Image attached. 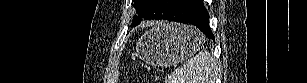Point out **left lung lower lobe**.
Instances as JSON below:
<instances>
[{"mask_svg": "<svg viewBox=\"0 0 307 83\" xmlns=\"http://www.w3.org/2000/svg\"><path fill=\"white\" fill-rule=\"evenodd\" d=\"M163 19L193 24L214 40L209 27V14L202 0H175Z\"/></svg>", "mask_w": 307, "mask_h": 83, "instance_id": "0a47b994", "label": "left lung lower lobe"}]
</instances>
